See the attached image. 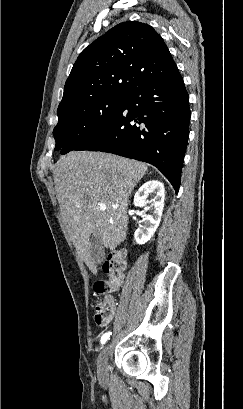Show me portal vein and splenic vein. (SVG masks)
<instances>
[{
	"instance_id": "obj_1",
	"label": "portal vein and splenic vein",
	"mask_w": 243,
	"mask_h": 409,
	"mask_svg": "<svg viewBox=\"0 0 243 409\" xmlns=\"http://www.w3.org/2000/svg\"><path fill=\"white\" fill-rule=\"evenodd\" d=\"M99 206L102 211L106 210V205L104 203H99Z\"/></svg>"
}]
</instances>
